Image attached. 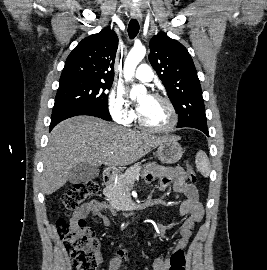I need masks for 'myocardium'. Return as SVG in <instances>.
Returning a JSON list of instances; mask_svg holds the SVG:
<instances>
[{
  "label": "myocardium",
  "mask_w": 267,
  "mask_h": 270,
  "mask_svg": "<svg viewBox=\"0 0 267 270\" xmlns=\"http://www.w3.org/2000/svg\"><path fill=\"white\" fill-rule=\"evenodd\" d=\"M154 98L161 101L167 107L169 114H170L169 123L164 127H153V126L146 124L142 120V118L139 114L137 117L138 125L140 126V128H142L148 132L158 133V134L168 133V132L172 131L175 128V126L177 125V122H178L177 111H176L173 103L167 97L160 95V94H155Z\"/></svg>",
  "instance_id": "obj_1"
}]
</instances>
